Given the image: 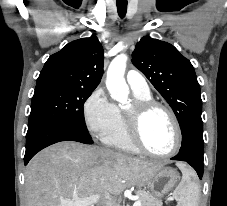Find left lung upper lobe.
<instances>
[{
  "label": "left lung upper lobe",
  "mask_w": 227,
  "mask_h": 206,
  "mask_svg": "<svg viewBox=\"0 0 227 206\" xmlns=\"http://www.w3.org/2000/svg\"><path fill=\"white\" fill-rule=\"evenodd\" d=\"M132 62L173 109L182 141L191 135L202 138L200 85L190 61L173 45L146 36L137 43Z\"/></svg>",
  "instance_id": "obj_1"
}]
</instances>
